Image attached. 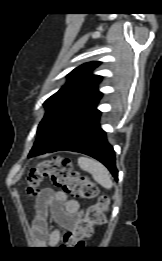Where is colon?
<instances>
[{"mask_svg": "<svg viewBox=\"0 0 162 261\" xmlns=\"http://www.w3.org/2000/svg\"><path fill=\"white\" fill-rule=\"evenodd\" d=\"M62 187L64 191L79 199H91L98 195L97 186L86 176L72 167L71 160L66 157H53L44 160L33 167L27 178V192L30 196L37 194V189L43 179ZM109 206V197L101 195L96 204L89 206L77 219L73 232L67 242L74 247H83L87 239L92 236L93 226L105 221V211Z\"/></svg>", "mask_w": 162, "mask_h": 261, "instance_id": "colon-1", "label": "colon"}]
</instances>
